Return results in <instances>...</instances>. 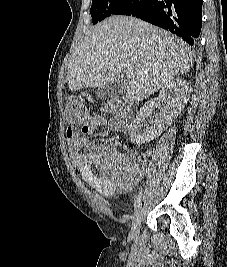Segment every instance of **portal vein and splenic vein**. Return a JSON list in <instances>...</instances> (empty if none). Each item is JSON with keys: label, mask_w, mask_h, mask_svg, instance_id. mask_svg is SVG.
Masks as SVG:
<instances>
[{"label": "portal vein and splenic vein", "mask_w": 227, "mask_h": 267, "mask_svg": "<svg viewBox=\"0 0 227 267\" xmlns=\"http://www.w3.org/2000/svg\"><path fill=\"white\" fill-rule=\"evenodd\" d=\"M124 73H125V75H126L127 77H132V76H134V71H133L132 69H129V68L125 69V70H124Z\"/></svg>", "instance_id": "portal-vein-and-splenic-vein-1"}]
</instances>
